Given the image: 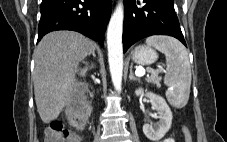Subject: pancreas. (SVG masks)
<instances>
[{
	"mask_svg": "<svg viewBox=\"0 0 227 142\" xmlns=\"http://www.w3.org/2000/svg\"><path fill=\"white\" fill-rule=\"evenodd\" d=\"M147 82L160 86L161 77L158 74H151L146 78Z\"/></svg>",
	"mask_w": 227,
	"mask_h": 142,
	"instance_id": "pancreas-1",
	"label": "pancreas"
}]
</instances>
